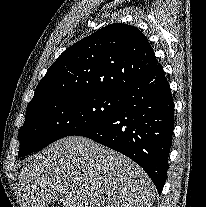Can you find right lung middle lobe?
I'll return each mask as SVG.
<instances>
[{
    "mask_svg": "<svg viewBox=\"0 0 206 207\" xmlns=\"http://www.w3.org/2000/svg\"><path fill=\"white\" fill-rule=\"evenodd\" d=\"M122 94L63 96L40 102L26 112L19 131V156L39 151L52 142L91 128L112 116Z\"/></svg>",
    "mask_w": 206,
    "mask_h": 207,
    "instance_id": "dd1d6c3e",
    "label": "right lung middle lobe"
}]
</instances>
